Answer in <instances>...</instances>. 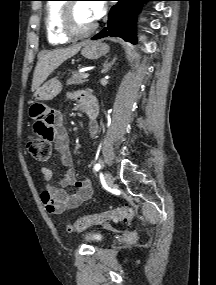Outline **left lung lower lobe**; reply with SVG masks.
Listing matches in <instances>:
<instances>
[{
	"label": "left lung lower lobe",
	"mask_w": 216,
	"mask_h": 285,
	"mask_svg": "<svg viewBox=\"0 0 216 285\" xmlns=\"http://www.w3.org/2000/svg\"><path fill=\"white\" fill-rule=\"evenodd\" d=\"M108 16L107 26L92 39L103 37H121L131 43H136L134 22L144 2L155 0H116Z\"/></svg>",
	"instance_id": "obj_1"
}]
</instances>
